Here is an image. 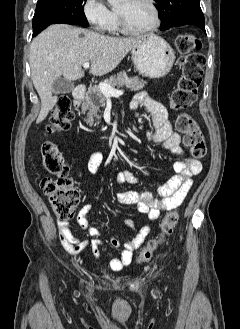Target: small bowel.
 Segmentation results:
<instances>
[{"mask_svg":"<svg viewBox=\"0 0 240 329\" xmlns=\"http://www.w3.org/2000/svg\"><path fill=\"white\" fill-rule=\"evenodd\" d=\"M143 107L151 116L150 128L146 131L147 140L162 146L163 149L181 157L175 162L174 170L177 175L172 177L167 183L156 188L154 191H122L117 194V200L121 204L136 206L139 213L144 214L150 221L158 218L160 213L172 210L180 206L185 199L192 184V178L202 171V164L194 158L187 157L183 152L181 135L172 129L168 120L166 109L162 104L150 97L146 92H140L134 96L130 103V109L135 110ZM104 156L101 152H94L88 162V170L91 174L99 173ZM139 178L129 169L120 171L115 176L116 184H137ZM92 205L86 203L81 208L77 222L86 230L91 240L79 239L70 229L68 222L58 221V233L63 248L73 254L80 253L85 249H90L95 259L100 258V247L103 242L100 239L102 231L94 226H90L87 215L91 211ZM124 224L135 232V236L122 245L121 253L118 257H113L109 261V266L113 271H121L128 266L133 258V253L144 242L152 229V223L144 224L136 230L134 223L125 219ZM110 244L114 248L121 246L120 242L112 237Z\"/></svg>","mask_w":240,"mask_h":329,"instance_id":"1","label":"small bowel"}]
</instances>
